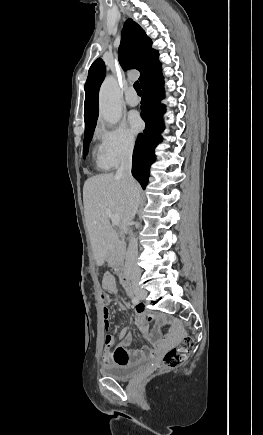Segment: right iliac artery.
Returning a JSON list of instances; mask_svg holds the SVG:
<instances>
[{
    "label": "right iliac artery",
    "instance_id": "right-iliac-artery-1",
    "mask_svg": "<svg viewBox=\"0 0 263 435\" xmlns=\"http://www.w3.org/2000/svg\"><path fill=\"white\" fill-rule=\"evenodd\" d=\"M132 302H133L134 304H137V303L139 302V299H138L137 297H133V298H132Z\"/></svg>",
    "mask_w": 263,
    "mask_h": 435
}]
</instances>
